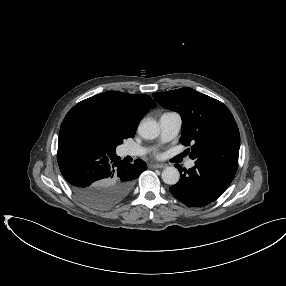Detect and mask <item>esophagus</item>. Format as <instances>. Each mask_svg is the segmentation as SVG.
Instances as JSON below:
<instances>
[{"label":"esophagus","mask_w":286,"mask_h":286,"mask_svg":"<svg viewBox=\"0 0 286 286\" xmlns=\"http://www.w3.org/2000/svg\"><path fill=\"white\" fill-rule=\"evenodd\" d=\"M150 166H151L152 168L162 169V168H165L167 165H166V164H158V163H155V164H151Z\"/></svg>","instance_id":"34e87169"}]
</instances>
